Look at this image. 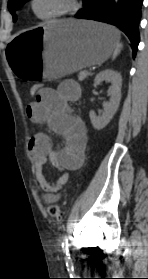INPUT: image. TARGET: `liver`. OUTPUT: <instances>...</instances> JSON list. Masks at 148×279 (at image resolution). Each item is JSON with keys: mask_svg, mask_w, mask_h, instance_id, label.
<instances>
[{"mask_svg": "<svg viewBox=\"0 0 148 279\" xmlns=\"http://www.w3.org/2000/svg\"><path fill=\"white\" fill-rule=\"evenodd\" d=\"M73 22H76V23H79L80 21H75V20H72Z\"/></svg>", "mask_w": 148, "mask_h": 279, "instance_id": "liver-1", "label": "liver"}]
</instances>
